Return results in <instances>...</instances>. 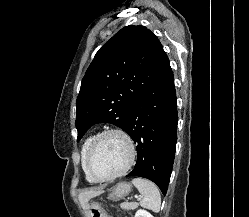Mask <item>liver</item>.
Returning a JSON list of instances; mask_svg holds the SVG:
<instances>
[{"instance_id": "liver-1", "label": "liver", "mask_w": 249, "mask_h": 217, "mask_svg": "<svg viewBox=\"0 0 249 217\" xmlns=\"http://www.w3.org/2000/svg\"><path fill=\"white\" fill-rule=\"evenodd\" d=\"M102 193V190H90V191H85L79 194V201L81 206L87 210L89 209V200L92 197L98 196Z\"/></svg>"}]
</instances>
